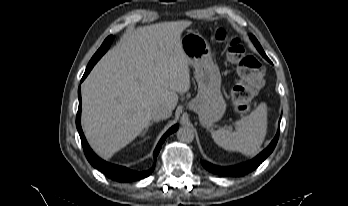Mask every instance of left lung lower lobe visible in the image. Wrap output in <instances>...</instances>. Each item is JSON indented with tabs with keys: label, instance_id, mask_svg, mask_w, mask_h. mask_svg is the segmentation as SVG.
<instances>
[{
	"label": "left lung lower lobe",
	"instance_id": "0a47b994",
	"mask_svg": "<svg viewBox=\"0 0 348 206\" xmlns=\"http://www.w3.org/2000/svg\"><path fill=\"white\" fill-rule=\"evenodd\" d=\"M278 137H279V129L275 138L270 143V145L265 150H263L259 155H257L254 159H252L251 161L247 163L237 165V166H231V167H219L205 161H201V164L208 171L215 174H219L223 176H238V177L243 176L253 171L254 169H256L269 156V154H271V152L274 150L277 144Z\"/></svg>",
	"mask_w": 348,
	"mask_h": 206
}]
</instances>
